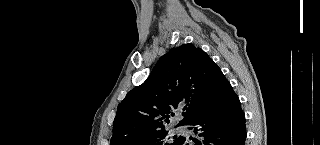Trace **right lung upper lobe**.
<instances>
[{"mask_svg":"<svg viewBox=\"0 0 320 145\" xmlns=\"http://www.w3.org/2000/svg\"><path fill=\"white\" fill-rule=\"evenodd\" d=\"M223 76L201 48L188 43L163 55L147 80L132 89L117 108L110 145H132L164 129L173 111L183 107L186 125L212 103Z\"/></svg>","mask_w":320,"mask_h":145,"instance_id":"right-lung-upper-lobe-1","label":"right lung upper lobe"}]
</instances>
